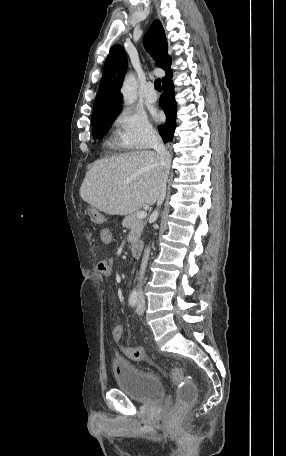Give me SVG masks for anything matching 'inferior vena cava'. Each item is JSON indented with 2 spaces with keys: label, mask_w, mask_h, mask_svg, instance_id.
I'll list each match as a JSON object with an SVG mask.
<instances>
[{
  "label": "inferior vena cava",
  "mask_w": 286,
  "mask_h": 456,
  "mask_svg": "<svg viewBox=\"0 0 286 456\" xmlns=\"http://www.w3.org/2000/svg\"><path fill=\"white\" fill-rule=\"evenodd\" d=\"M150 145L160 155L161 165H162V167L164 168V171H165V176L163 177V179H162V181L160 183V186H159L158 201H157V206L159 207L163 203V201L165 199V196H166V181H167V174H168V171H169V168H168L169 159H168V156H167L166 148H165V146H164V144L162 142V139L157 133H153L151 135V137H150ZM154 214L157 216L158 212L155 211ZM149 254H150V248L147 247L145 249V251H144V255H143V258H142V263H141V268H140V275H139V281L140 282L142 281L144 273H145V270H146ZM138 294H139V296H143V291H142L141 285L139 287Z\"/></svg>",
  "instance_id": "obj_1"
}]
</instances>
